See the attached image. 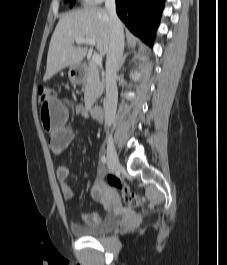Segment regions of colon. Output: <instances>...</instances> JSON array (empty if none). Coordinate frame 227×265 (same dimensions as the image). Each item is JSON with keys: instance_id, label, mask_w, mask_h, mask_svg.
Returning <instances> with one entry per match:
<instances>
[{"instance_id": "1", "label": "colon", "mask_w": 227, "mask_h": 265, "mask_svg": "<svg viewBox=\"0 0 227 265\" xmlns=\"http://www.w3.org/2000/svg\"><path fill=\"white\" fill-rule=\"evenodd\" d=\"M54 98L53 90L47 85H40L38 87V99L41 102H50ZM108 184L115 188L121 194L123 201L132 207L139 206L141 200L139 196L133 192L130 187L125 183L123 178L119 175L110 174L107 177Z\"/></svg>"}]
</instances>
